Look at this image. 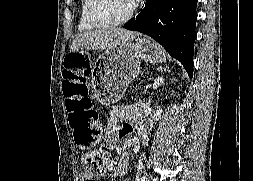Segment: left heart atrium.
I'll return each mask as SVG.
<instances>
[{
  "label": "left heart atrium",
  "mask_w": 253,
  "mask_h": 181,
  "mask_svg": "<svg viewBox=\"0 0 253 181\" xmlns=\"http://www.w3.org/2000/svg\"><path fill=\"white\" fill-rule=\"evenodd\" d=\"M139 1H140V0H130V3H131V5H132V7H135V6L138 5Z\"/></svg>",
  "instance_id": "left-heart-atrium-1"
}]
</instances>
